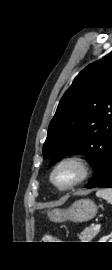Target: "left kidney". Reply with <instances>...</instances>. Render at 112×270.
Segmentation results:
<instances>
[{"label":"left kidney","mask_w":112,"mask_h":270,"mask_svg":"<svg viewBox=\"0 0 112 270\" xmlns=\"http://www.w3.org/2000/svg\"><path fill=\"white\" fill-rule=\"evenodd\" d=\"M109 237H111V238H112V232H111V234L109 235Z\"/></svg>","instance_id":"5707ae66"}]
</instances>
